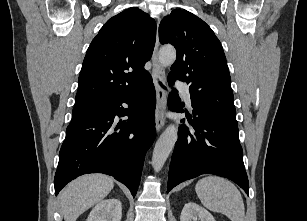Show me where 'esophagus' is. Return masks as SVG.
Returning <instances> with one entry per match:
<instances>
[{
    "instance_id": "1",
    "label": "esophagus",
    "mask_w": 307,
    "mask_h": 221,
    "mask_svg": "<svg viewBox=\"0 0 307 221\" xmlns=\"http://www.w3.org/2000/svg\"><path fill=\"white\" fill-rule=\"evenodd\" d=\"M160 19L157 21V34H156V42L152 55V65H153V82L155 85L156 91V111H155V126L156 130L160 131L165 124V112H166V91L159 84L165 83L166 76L165 70L159 62L158 59V50H159V35H158V27H159Z\"/></svg>"
}]
</instances>
